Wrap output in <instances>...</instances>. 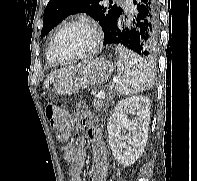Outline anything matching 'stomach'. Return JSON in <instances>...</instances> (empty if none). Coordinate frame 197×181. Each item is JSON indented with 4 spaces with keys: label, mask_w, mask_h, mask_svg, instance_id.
<instances>
[{
    "label": "stomach",
    "mask_w": 197,
    "mask_h": 181,
    "mask_svg": "<svg viewBox=\"0 0 197 181\" xmlns=\"http://www.w3.org/2000/svg\"><path fill=\"white\" fill-rule=\"evenodd\" d=\"M115 71L110 60L100 57L85 63L77 71L56 81L55 93L58 95H72L89 87H95L108 81Z\"/></svg>",
    "instance_id": "0dacf381"
}]
</instances>
